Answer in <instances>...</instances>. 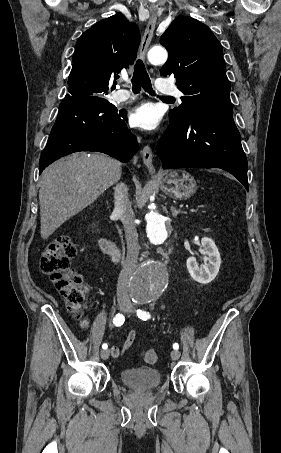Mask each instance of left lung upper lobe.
Instances as JSON below:
<instances>
[{"mask_svg":"<svg viewBox=\"0 0 281 453\" xmlns=\"http://www.w3.org/2000/svg\"><path fill=\"white\" fill-rule=\"evenodd\" d=\"M160 43L169 53L160 75L175 77L185 95L182 104L170 110L171 122L194 112L232 109L222 47L208 26L180 15L161 36Z\"/></svg>","mask_w":281,"mask_h":453,"instance_id":"5c2ea615","label":"left lung upper lobe"}]
</instances>
